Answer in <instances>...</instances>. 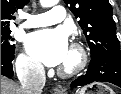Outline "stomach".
<instances>
[{
  "label": "stomach",
  "instance_id": "1",
  "mask_svg": "<svg viewBox=\"0 0 121 94\" xmlns=\"http://www.w3.org/2000/svg\"><path fill=\"white\" fill-rule=\"evenodd\" d=\"M76 94H115L114 91L103 83H93L82 88Z\"/></svg>",
  "mask_w": 121,
  "mask_h": 94
}]
</instances>
